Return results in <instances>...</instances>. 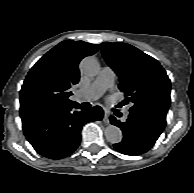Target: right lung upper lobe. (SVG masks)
<instances>
[{
  "instance_id": "obj_1",
  "label": "right lung upper lobe",
  "mask_w": 194,
  "mask_h": 193,
  "mask_svg": "<svg viewBox=\"0 0 194 193\" xmlns=\"http://www.w3.org/2000/svg\"><path fill=\"white\" fill-rule=\"evenodd\" d=\"M98 51L97 44L66 40L40 58L29 71L20 91L21 118L74 104L70 88L80 77L82 58Z\"/></svg>"
}]
</instances>
